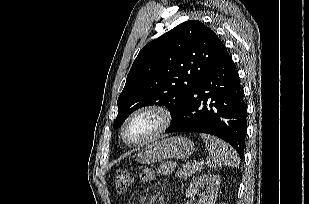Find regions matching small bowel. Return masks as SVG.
<instances>
[{
  "mask_svg": "<svg viewBox=\"0 0 309 204\" xmlns=\"http://www.w3.org/2000/svg\"><path fill=\"white\" fill-rule=\"evenodd\" d=\"M174 167H175L174 164L171 163V162L164 163L161 166V170L160 171H161L162 174H169V173L173 172ZM153 177H154V171L152 169H150V168L145 169L142 172V175H141V179L144 182H149L150 180H152Z\"/></svg>",
  "mask_w": 309,
  "mask_h": 204,
  "instance_id": "small-bowel-1",
  "label": "small bowel"
}]
</instances>
